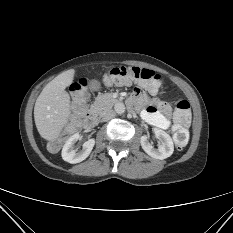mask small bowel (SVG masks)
I'll return each mask as SVG.
<instances>
[{"label": "small bowel", "mask_w": 233, "mask_h": 233, "mask_svg": "<svg viewBox=\"0 0 233 233\" xmlns=\"http://www.w3.org/2000/svg\"><path fill=\"white\" fill-rule=\"evenodd\" d=\"M136 98L147 105L142 112V117L146 122L160 129L171 127L170 107L167 104L161 101H151L139 89L136 92Z\"/></svg>", "instance_id": "small-bowel-1"}]
</instances>
